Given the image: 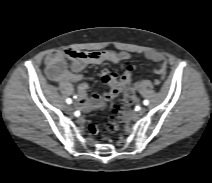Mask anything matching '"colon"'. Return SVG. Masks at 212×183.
<instances>
[{
    "instance_id": "colon-1",
    "label": "colon",
    "mask_w": 212,
    "mask_h": 183,
    "mask_svg": "<svg viewBox=\"0 0 212 183\" xmlns=\"http://www.w3.org/2000/svg\"><path fill=\"white\" fill-rule=\"evenodd\" d=\"M135 94L132 87H128L117 105H115L111 118L105 124L91 125L90 132L96 134L101 131H116L123 122L127 109L134 103Z\"/></svg>"
}]
</instances>
